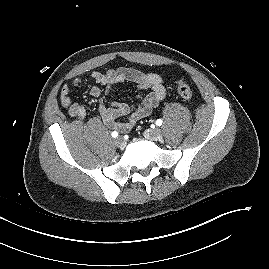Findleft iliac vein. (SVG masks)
I'll list each match as a JSON object with an SVG mask.
<instances>
[{
	"label": "left iliac vein",
	"instance_id": "1",
	"mask_svg": "<svg viewBox=\"0 0 269 269\" xmlns=\"http://www.w3.org/2000/svg\"><path fill=\"white\" fill-rule=\"evenodd\" d=\"M144 136L148 140L158 141L162 138V131L159 128L148 129L144 132Z\"/></svg>",
	"mask_w": 269,
	"mask_h": 269
}]
</instances>
